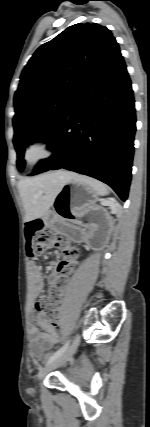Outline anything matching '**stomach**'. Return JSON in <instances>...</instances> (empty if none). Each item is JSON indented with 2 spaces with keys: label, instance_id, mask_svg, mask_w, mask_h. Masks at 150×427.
Masks as SVG:
<instances>
[{
  "label": "stomach",
  "instance_id": "stomach-1",
  "mask_svg": "<svg viewBox=\"0 0 150 427\" xmlns=\"http://www.w3.org/2000/svg\"><path fill=\"white\" fill-rule=\"evenodd\" d=\"M97 199L98 194L93 188L74 178L59 190L52 208L58 217L75 222L95 204Z\"/></svg>",
  "mask_w": 150,
  "mask_h": 427
}]
</instances>
